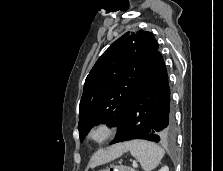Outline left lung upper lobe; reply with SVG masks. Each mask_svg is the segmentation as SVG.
Returning <instances> with one entry per match:
<instances>
[{
    "label": "left lung upper lobe",
    "mask_w": 223,
    "mask_h": 171,
    "mask_svg": "<svg viewBox=\"0 0 223 171\" xmlns=\"http://www.w3.org/2000/svg\"><path fill=\"white\" fill-rule=\"evenodd\" d=\"M158 53L150 32H127L97 60L88 74L79 107L80 139L100 123L118 126Z\"/></svg>",
    "instance_id": "obj_1"
}]
</instances>
